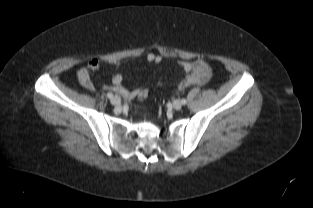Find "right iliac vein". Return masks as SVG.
<instances>
[{
	"label": "right iliac vein",
	"mask_w": 313,
	"mask_h": 208,
	"mask_svg": "<svg viewBox=\"0 0 313 208\" xmlns=\"http://www.w3.org/2000/svg\"><path fill=\"white\" fill-rule=\"evenodd\" d=\"M111 103H112V105H114V106H120V104H121V99H120V97H119V96H113V97L111 98Z\"/></svg>",
	"instance_id": "right-iliac-vein-1"
}]
</instances>
